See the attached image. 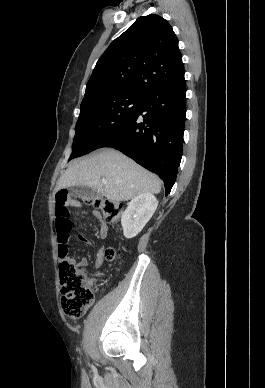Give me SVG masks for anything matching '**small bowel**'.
<instances>
[{
  "label": "small bowel",
  "mask_w": 265,
  "mask_h": 388,
  "mask_svg": "<svg viewBox=\"0 0 265 388\" xmlns=\"http://www.w3.org/2000/svg\"><path fill=\"white\" fill-rule=\"evenodd\" d=\"M70 204L71 206L73 207H76V208H82L83 207V204L77 200H71L70 201ZM92 216L99 220L100 221V228H99V236L101 239H105L107 238L108 236V226L102 222L101 220V215L99 214V212L97 211H94L92 212ZM79 240L84 243V244H87V245H90L91 244V240L88 239L87 237L83 236V235H80L79 236ZM70 261L75 264L76 266L78 267H85L87 266L88 264V260L87 258H81L79 261H76L75 259H70ZM103 261H104V249L103 248H100L96 254V257H95V260H94V269H98L101 267V265L103 264ZM90 282V285L93 286L95 284V280L94 279H91L89 280Z\"/></svg>",
  "instance_id": "small-bowel-1"
}]
</instances>
